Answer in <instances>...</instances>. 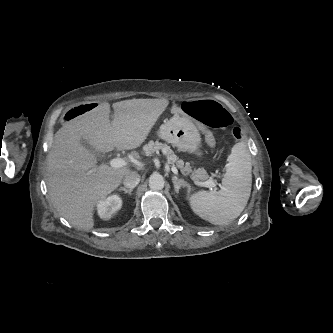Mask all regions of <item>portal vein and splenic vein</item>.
<instances>
[{"label":"portal vein and splenic vein","mask_w":333,"mask_h":333,"mask_svg":"<svg viewBox=\"0 0 333 333\" xmlns=\"http://www.w3.org/2000/svg\"><path fill=\"white\" fill-rule=\"evenodd\" d=\"M127 165V161L122 159V158H114L110 161V166L113 168H121ZM172 172L174 174H178V170L176 169L175 166H172L171 168ZM195 185L197 186H212L214 187L215 182H211V181H205V182H195Z\"/></svg>","instance_id":"obj_1"}]
</instances>
